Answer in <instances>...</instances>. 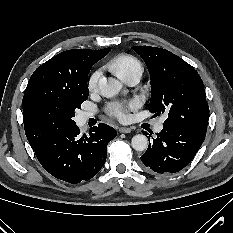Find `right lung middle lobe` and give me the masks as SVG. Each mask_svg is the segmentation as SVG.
<instances>
[{
  "label": "right lung middle lobe",
  "instance_id": "right-lung-middle-lobe-1",
  "mask_svg": "<svg viewBox=\"0 0 233 233\" xmlns=\"http://www.w3.org/2000/svg\"><path fill=\"white\" fill-rule=\"evenodd\" d=\"M87 80L73 91L38 92L28 104V120L44 133H59L75 126V110L88 99Z\"/></svg>",
  "mask_w": 233,
  "mask_h": 233
}]
</instances>
